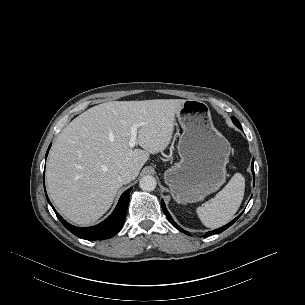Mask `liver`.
Here are the masks:
<instances>
[{"mask_svg":"<svg viewBox=\"0 0 305 305\" xmlns=\"http://www.w3.org/2000/svg\"><path fill=\"white\" fill-rule=\"evenodd\" d=\"M185 101H112L72 120L54 142L46 166L48 192L63 216L81 226L99 219L123 185L120 171L131 170L135 179L150 154L169 145L175 114ZM133 124H142L137 143L144 150L129 147Z\"/></svg>","mask_w":305,"mask_h":305,"instance_id":"liver-1","label":"liver"}]
</instances>
